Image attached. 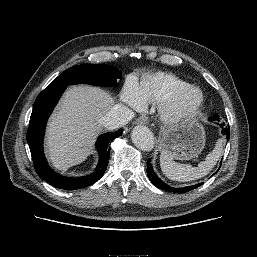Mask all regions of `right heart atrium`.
<instances>
[{"label": "right heart atrium", "mask_w": 257, "mask_h": 257, "mask_svg": "<svg viewBox=\"0 0 257 257\" xmlns=\"http://www.w3.org/2000/svg\"><path fill=\"white\" fill-rule=\"evenodd\" d=\"M121 98L122 100L134 107V108H141L143 105L139 102L137 96H136V93H135V83L133 81H129L124 89H123V92H122V95H121Z\"/></svg>", "instance_id": "d8ad5b80"}]
</instances>
